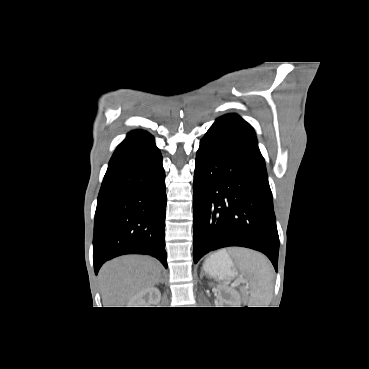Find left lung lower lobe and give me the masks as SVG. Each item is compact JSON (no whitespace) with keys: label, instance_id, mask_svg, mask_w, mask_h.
<instances>
[{"label":"left lung lower lobe","instance_id":"obj_1","mask_svg":"<svg viewBox=\"0 0 369 369\" xmlns=\"http://www.w3.org/2000/svg\"><path fill=\"white\" fill-rule=\"evenodd\" d=\"M194 262L228 246L263 252L278 266L279 237L265 161L250 124L218 118L200 141L193 182Z\"/></svg>","mask_w":369,"mask_h":369}]
</instances>
